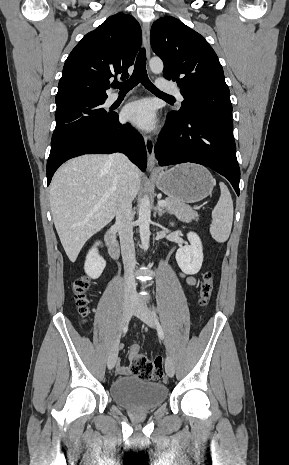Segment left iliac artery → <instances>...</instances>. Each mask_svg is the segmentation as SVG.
I'll list each match as a JSON object with an SVG mask.
<instances>
[{
  "label": "left iliac artery",
  "instance_id": "obj_1",
  "mask_svg": "<svg viewBox=\"0 0 289 465\" xmlns=\"http://www.w3.org/2000/svg\"><path fill=\"white\" fill-rule=\"evenodd\" d=\"M152 313H153L154 317L156 318V313H155V310H154L153 307H152ZM156 324H157V329H158V335H159V337L161 339H163L164 338V333H163V330H162L157 318H156Z\"/></svg>",
  "mask_w": 289,
  "mask_h": 465
}]
</instances>
